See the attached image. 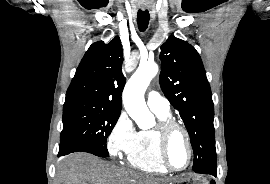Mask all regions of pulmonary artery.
<instances>
[{
	"label": "pulmonary artery",
	"instance_id": "pulmonary-artery-1",
	"mask_svg": "<svg viewBox=\"0 0 270 184\" xmlns=\"http://www.w3.org/2000/svg\"><path fill=\"white\" fill-rule=\"evenodd\" d=\"M147 104L154 112L166 113L170 110L169 101L156 91H150L148 93Z\"/></svg>",
	"mask_w": 270,
	"mask_h": 184
}]
</instances>
